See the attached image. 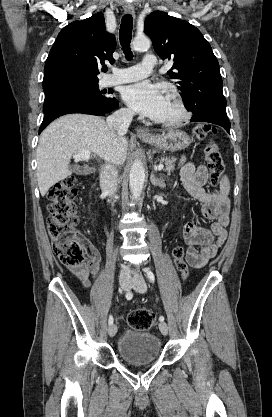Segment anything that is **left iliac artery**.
Wrapping results in <instances>:
<instances>
[{"label": "left iliac artery", "instance_id": "1", "mask_svg": "<svg viewBox=\"0 0 272 417\" xmlns=\"http://www.w3.org/2000/svg\"><path fill=\"white\" fill-rule=\"evenodd\" d=\"M146 273H147V277H148V279H149L151 282H153V283H154V281H155V276H154L153 272H152L151 270H146ZM159 320H160V321H164V317H163V316H160V317H159Z\"/></svg>", "mask_w": 272, "mask_h": 417}]
</instances>
